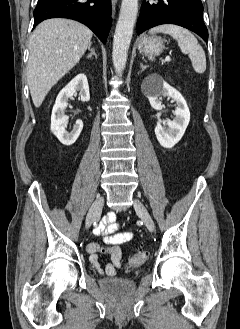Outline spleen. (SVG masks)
<instances>
[{
  "mask_svg": "<svg viewBox=\"0 0 240 329\" xmlns=\"http://www.w3.org/2000/svg\"><path fill=\"white\" fill-rule=\"evenodd\" d=\"M150 34L165 33L171 35L178 43L183 54H187L197 73L206 70V56L203 48L198 44L196 37L187 29L173 24H163L149 30ZM152 59V57H150Z\"/></svg>",
  "mask_w": 240,
  "mask_h": 329,
  "instance_id": "1",
  "label": "spleen"
}]
</instances>
